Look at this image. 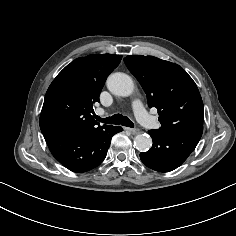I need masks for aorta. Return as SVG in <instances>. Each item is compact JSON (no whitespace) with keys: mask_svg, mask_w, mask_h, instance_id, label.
Returning <instances> with one entry per match:
<instances>
[{"mask_svg":"<svg viewBox=\"0 0 236 236\" xmlns=\"http://www.w3.org/2000/svg\"><path fill=\"white\" fill-rule=\"evenodd\" d=\"M107 88L115 95L127 97L133 93L134 83L129 75L117 72L108 77ZM134 144L139 151L145 152L151 148L152 139L147 134H138L134 138Z\"/></svg>","mask_w":236,"mask_h":236,"instance_id":"aorta-1","label":"aorta"}]
</instances>
